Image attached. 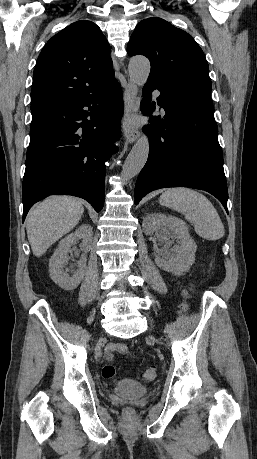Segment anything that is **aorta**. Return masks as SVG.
<instances>
[{"label": "aorta", "mask_w": 257, "mask_h": 459, "mask_svg": "<svg viewBox=\"0 0 257 459\" xmlns=\"http://www.w3.org/2000/svg\"><path fill=\"white\" fill-rule=\"evenodd\" d=\"M129 76L137 85L146 83L150 73V62L147 58L133 57L128 66ZM149 154V140L146 135H141L136 144L130 151L122 167V177L127 181L141 171L144 167Z\"/></svg>", "instance_id": "762f6f07"}]
</instances>
